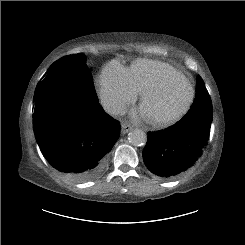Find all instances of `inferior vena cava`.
<instances>
[{
	"mask_svg": "<svg viewBox=\"0 0 245 245\" xmlns=\"http://www.w3.org/2000/svg\"><path fill=\"white\" fill-rule=\"evenodd\" d=\"M102 106L111 115H123L126 113V106L120 100H104L102 101Z\"/></svg>",
	"mask_w": 245,
	"mask_h": 245,
	"instance_id": "inferior-vena-cava-1",
	"label": "inferior vena cava"
}]
</instances>
